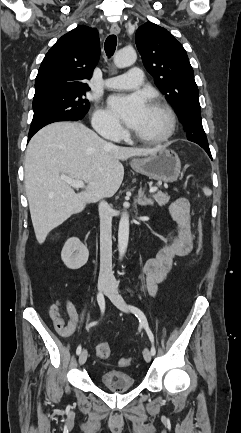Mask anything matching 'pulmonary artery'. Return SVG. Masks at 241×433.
Wrapping results in <instances>:
<instances>
[{
    "label": "pulmonary artery",
    "instance_id": "pulmonary-artery-1",
    "mask_svg": "<svg viewBox=\"0 0 241 433\" xmlns=\"http://www.w3.org/2000/svg\"><path fill=\"white\" fill-rule=\"evenodd\" d=\"M143 83V73L139 67H132L124 75L108 78L104 81L105 87L116 90H132Z\"/></svg>",
    "mask_w": 241,
    "mask_h": 433
}]
</instances>
